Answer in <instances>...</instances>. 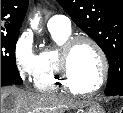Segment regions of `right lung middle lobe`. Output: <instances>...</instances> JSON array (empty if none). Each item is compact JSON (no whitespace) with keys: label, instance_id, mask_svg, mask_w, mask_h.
Masks as SVG:
<instances>
[{"label":"right lung middle lobe","instance_id":"right-lung-middle-lobe-1","mask_svg":"<svg viewBox=\"0 0 123 113\" xmlns=\"http://www.w3.org/2000/svg\"><path fill=\"white\" fill-rule=\"evenodd\" d=\"M19 33L1 35V86L22 84L15 64V46Z\"/></svg>","mask_w":123,"mask_h":113}]
</instances>
